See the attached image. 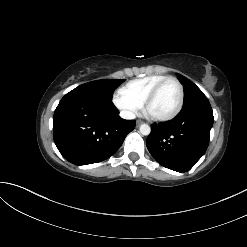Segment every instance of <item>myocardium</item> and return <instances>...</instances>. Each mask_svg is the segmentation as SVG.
Masks as SVG:
<instances>
[{
  "instance_id": "1",
  "label": "myocardium",
  "mask_w": 247,
  "mask_h": 247,
  "mask_svg": "<svg viewBox=\"0 0 247 247\" xmlns=\"http://www.w3.org/2000/svg\"><path fill=\"white\" fill-rule=\"evenodd\" d=\"M169 81H173L177 84L178 88H179V102L177 107L175 108V110L166 115V116H154L151 115L148 112V106L149 104L153 101V99L155 98V96L158 94V92L161 90V88ZM184 101H185V95H184V87L182 85V83L180 82L179 79H177L176 77L173 76H167L166 78H164L163 80H161L158 84H156L154 86V88L148 93V95L146 96L144 102H143V108L145 113L148 114V116L154 120V121H158V122H167L170 121L172 119H174L176 116H178V114L181 112L183 105H184Z\"/></svg>"
}]
</instances>
